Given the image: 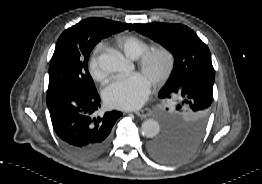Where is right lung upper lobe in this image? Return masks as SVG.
Instances as JSON below:
<instances>
[{"label": "right lung upper lobe", "mask_w": 262, "mask_h": 184, "mask_svg": "<svg viewBox=\"0 0 262 184\" xmlns=\"http://www.w3.org/2000/svg\"><path fill=\"white\" fill-rule=\"evenodd\" d=\"M82 22H88V23L100 24L102 26H108L115 30H119V32L125 29H128L131 26V24H123V23H118V22H114L111 20H107V19H101V18H90Z\"/></svg>", "instance_id": "1"}]
</instances>
